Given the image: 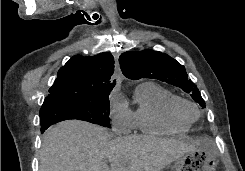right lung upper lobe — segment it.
Wrapping results in <instances>:
<instances>
[{"label":"right lung upper lobe","instance_id":"obj_1","mask_svg":"<svg viewBox=\"0 0 245 171\" xmlns=\"http://www.w3.org/2000/svg\"><path fill=\"white\" fill-rule=\"evenodd\" d=\"M113 71L114 58L109 52L95 56L75 55L58 71L44 103L109 95L115 85L110 81Z\"/></svg>","mask_w":245,"mask_h":171}]
</instances>
